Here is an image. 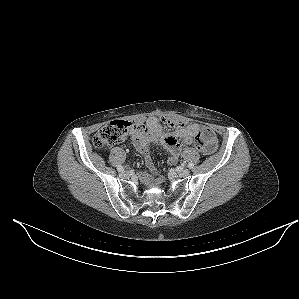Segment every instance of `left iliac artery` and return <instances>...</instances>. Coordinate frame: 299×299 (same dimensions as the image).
Returning <instances> with one entry per match:
<instances>
[{
  "mask_svg": "<svg viewBox=\"0 0 299 299\" xmlns=\"http://www.w3.org/2000/svg\"><path fill=\"white\" fill-rule=\"evenodd\" d=\"M193 167H194V164H193L192 162H190V163L188 164V168L192 169Z\"/></svg>",
  "mask_w": 299,
  "mask_h": 299,
  "instance_id": "left-iliac-artery-1",
  "label": "left iliac artery"
}]
</instances>
